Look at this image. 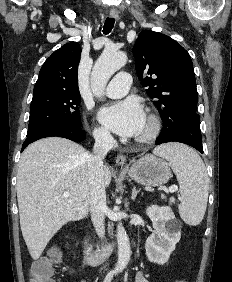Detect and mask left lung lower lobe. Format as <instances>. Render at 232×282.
Returning a JSON list of instances; mask_svg holds the SVG:
<instances>
[{"label":"left lung lower lobe","instance_id":"left-lung-lower-lobe-1","mask_svg":"<svg viewBox=\"0 0 232 282\" xmlns=\"http://www.w3.org/2000/svg\"><path fill=\"white\" fill-rule=\"evenodd\" d=\"M167 142H181L203 153L199 115L182 107L170 119L164 120L156 145Z\"/></svg>","mask_w":232,"mask_h":282}]
</instances>
